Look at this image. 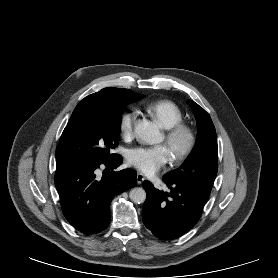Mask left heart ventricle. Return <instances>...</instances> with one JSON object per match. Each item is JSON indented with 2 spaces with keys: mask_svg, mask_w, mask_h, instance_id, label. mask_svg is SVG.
<instances>
[{
  "mask_svg": "<svg viewBox=\"0 0 278 278\" xmlns=\"http://www.w3.org/2000/svg\"><path fill=\"white\" fill-rule=\"evenodd\" d=\"M167 150L170 152V149L166 146Z\"/></svg>",
  "mask_w": 278,
  "mask_h": 278,
  "instance_id": "obj_1",
  "label": "left heart ventricle"
}]
</instances>
